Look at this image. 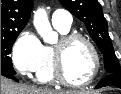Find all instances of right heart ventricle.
<instances>
[{"label": "right heart ventricle", "mask_w": 121, "mask_h": 94, "mask_svg": "<svg viewBox=\"0 0 121 94\" xmlns=\"http://www.w3.org/2000/svg\"><path fill=\"white\" fill-rule=\"evenodd\" d=\"M55 29L62 35L69 34L70 27L54 26ZM36 80L43 84H51L55 82L53 75V58L52 47L42 45V59L41 63L36 69Z\"/></svg>", "instance_id": "e07e8e85"}]
</instances>
